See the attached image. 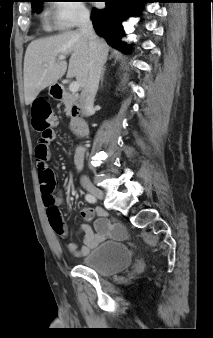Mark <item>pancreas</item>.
Returning <instances> with one entry per match:
<instances>
[{"label": "pancreas", "mask_w": 213, "mask_h": 338, "mask_svg": "<svg viewBox=\"0 0 213 338\" xmlns=\"http://www.w3.org/2000/svg\"><path fill=\"white\" fill-rule=\"evenodd\" d=\"M65 107H66V114L68 116L71 115V104L68 100L65 101ZM71 126L73 127L74 126V119H72V123H71Z\"/></svg>", "instance_id": "obj_1"}]
</instances>
